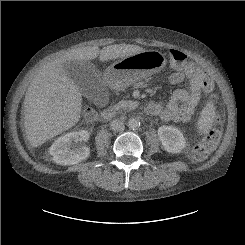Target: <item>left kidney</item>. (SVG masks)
<instances>
[{
    "label": "left kidney",
    "mask_w": 245,
    "mask_h": 245,
    "mask_svg": "<svg viewBox=\"0 0 245 245\" xmlns=\"http://www.w3.org/2000/svg\"><path fill=\"white\" fill-rule=\"evenodd\" d=\"M158 136L164 150L169 153H179L186 146L182 132L176 127L161 126L158 129Z\"/></svg>",
    "instance_id": "1"
}]
</instances>
